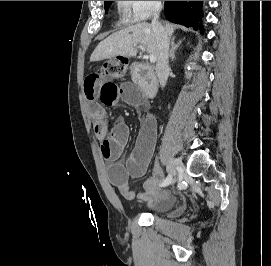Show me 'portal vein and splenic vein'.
<instances>
[{
  "mask_svg": "<svg viewBox=\"0 0 271 266\" xmlns=\"http://www.w3.org/2000/svg\"><path fill=\"white\" fill-rule=\"evenodd\" d=\"M140 50H142L143 52H145V48L142 46V45H139V46H137ZM148 58H149V61L151 62V63H154L155 61H156V56L155 55H152V54H150L149 56H148Z\"/></svg>",
  "mask_w": 271,
  "mask_h": 266,
  "instance_id": "18ae733b",
  "label": "portal vein and splenic vein"
}]
</instances>
